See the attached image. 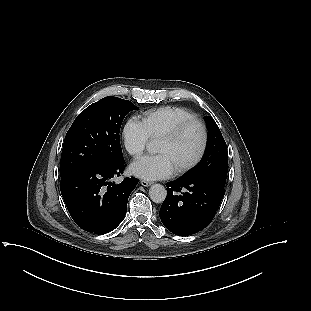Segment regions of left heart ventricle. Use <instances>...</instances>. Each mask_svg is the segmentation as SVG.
<instances>
[{"mask_svg":"<svg viewBox=\"0 0 311 311\" xmlns=\"http://www.w3.org/2000/svg\"><path fill=\"white\" fill-rule=\"evenodd\" d=\"M200 145V130L193 126L187 129L177 140H159L157 152L168 156L174 169L192 159Z\"/></svg>","mask_w":311,"mask_h":311,"instance_id":"obj_1","label":"left heart ventricle"}]
</instances>
